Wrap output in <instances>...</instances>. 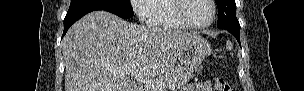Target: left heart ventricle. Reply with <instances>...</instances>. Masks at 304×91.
I'll use <instances>...</instances> for the list:
<instances>
[{"mask_svg":"<svg viewBox=\"0 0 304 91\" xmlns=\"http://www.w3.org/2000/svg\"><path fill=\"white\" fill-rule=\"evenodd\" d=\"M186 15L194 24H205L212 17V8L207 0H189Z\"/></svg>","mask_w":304,"mask_h":91,"instance_id":"1","label":"left heart ventricle"}]
</instances>
